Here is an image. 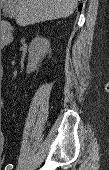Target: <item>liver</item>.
<instances>
[{"mask_svg": "<svg viewBox=\"0 0 109 170\" xmlns=\"http://www.w3.org/2000/svg\"><path fill=\"white\" fill-rule=\"evenodd\" d=\"M14 9L16 23L26 26L47 20L66 18L78 0H5Z\"/></svg>", "mask_w": 109, "mask_h": 170, "instance_id": "6515ba94", "label": "liver"}]
</instances>
